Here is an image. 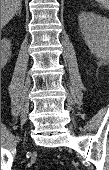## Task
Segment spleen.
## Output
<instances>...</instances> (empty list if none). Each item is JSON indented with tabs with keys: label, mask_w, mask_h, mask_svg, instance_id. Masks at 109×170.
Listing matches in <instances>:
<instances>
[{
	"label": "spleen",
	"mask_w": 109,
	"mask_h": 170,
	"mask_svg": "<svg viewBox=\"0 0 109 170\" xmlns=\"http://www.w3.org/2000/svg\"><path fill=\"white\" fill-rule=\"evenodd\" d=\"M96 2L100 3L104 7L108 8L109 7V0H95Z\"/></svg>",
	"instance_id": "1"
}]
</instances>
